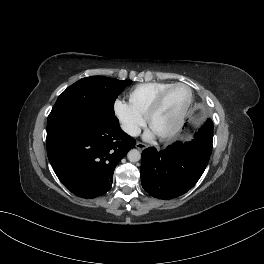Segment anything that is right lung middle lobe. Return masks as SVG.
<instances>
[{
	"label": "right lung middle lobe",
	"mask_w": 264,
	"mask_h": 264,
	"mask_svg": "<svg viewBox=\"0 0 264 264\" xmlns=\"http://www.w3.org/2000/svg\"><path fill=\"white\" fill-rule=\"evenodd\" d=\"M130 80H116L102 76L80 79L68 87L57 99L48 116L47 131L63 120L81 112L114 115V102Z\"/></svg>",
	"instance_id": "1"
}]
</instances>
